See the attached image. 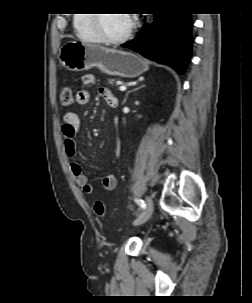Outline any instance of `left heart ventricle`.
I'll return each instance as SVG.
<instances>
[{"instance_id": "b2bd125f", "label": "left heart ventricle", "mask_w": 252, "mask_h": 303, "mask_svg": "<svg viewBox=\"0 0 252 303\" xmlns=\"http://www.w3.org/2000/svg\"><path fill=\"white\" fill-rule=\"evenodd\" d=\"M130 24V17L124 13L103 14L101 27L106 35L117 37L122 35Z\"/></svg>"}]
</instances>
